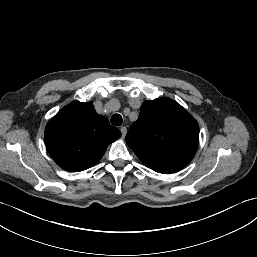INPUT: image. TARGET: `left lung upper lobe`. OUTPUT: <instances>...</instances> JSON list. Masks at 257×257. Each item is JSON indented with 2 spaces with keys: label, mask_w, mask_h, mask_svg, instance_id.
I'll return each instance as SVG.
<instances>
[{
  "label": "left lung upper lobe",
  "mask_w": 257,
  "mask_h": 257,
  "mask_svg": "<svg viewBox=\"0 0 257 257\" xmlns=\"http://www.w3.org/2000/svg\"><path fill=\"white\" fill-rule=\"evenodd\" d=\"M126 142L147 167L160 173H173L193 159L199 126L174 100L157 98L142 104Z\"/></svg>",
  "instance_id": "obj_1"
}]
</instances>
